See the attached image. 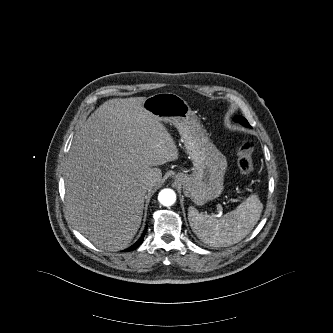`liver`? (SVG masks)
<instances>
[{
    "mask_svg": "<svg viewBox=\"0 0 333 333\" xmlns=\"http://www.w3.org/2000/svg\"><path fill=\"white\" fill-rule=\"evenodd\" d=\"M146 97L103 103L76 133L66 163V208L77 230L98 248H126L143 215L144 181L178 159L162 123L144 110Z\"/></svg>",
    "mask_w": 333,
    "mask_h": 333,
    "instance_id": "obj_1",
    "label": "liver"
}]
</instances>
